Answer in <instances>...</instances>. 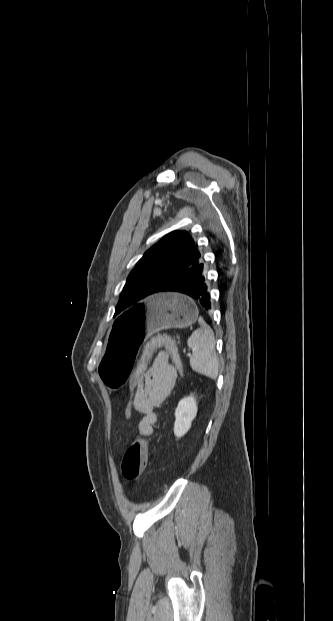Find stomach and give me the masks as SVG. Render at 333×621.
Masks as SVG:
<instances>
[{
    "label": "stomach",
    "mask_w": 333,
    "mask_h": 621,
    "mask_svg": "<svg viewBox=\"0 0 333 621\" xmlns=\"http://www.w3.org/2000/svg\"><path fill=\"white\" fill-rule=\"evenodd\" d=\"M198 319L194 303L174 293L149 297L121 315L110 330L99 374L108 391H122L137 367L144 346V337L167 328H185Z\"/></svg>",
    "instance_id": "stomach-1"
}]
</instances>
